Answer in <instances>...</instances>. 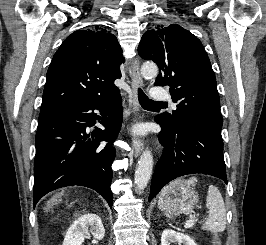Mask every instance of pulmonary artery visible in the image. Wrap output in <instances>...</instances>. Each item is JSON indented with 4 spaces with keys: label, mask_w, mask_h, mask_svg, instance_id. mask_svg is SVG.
I'll return each instance as SVG.
<instances>
[{
    "label": "pulmonary artery",
    "mask_w": 266,
    "mask_h": 245,
    "mask_svg": "<svg viewBox=\"0 0 266 245\" xmlns=\"http://www.w3.org/2000/svg\"><path fill=\"white\" fill-rule=\"evenodd\" d=\"M153 92H152V95L153 96H156L155 97V100L156 101H167V95H168V92L167 91H159L160 90V87L159 86H154L153 87ZM171 105L174 109H176V104L171 102Z\"/></svg>",
    "instance_id": "1"
}]
</instances>
